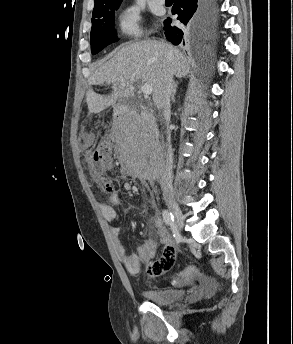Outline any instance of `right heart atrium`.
Instances as JSON below:
<instances>
[{"label": "right heart atrium", "instance_id": "d8ad5b80", "mask_svg": "<svg viewBox=\"0 0 293 344\" xmlns=\"http://www.w3.org/2000/svg\"><path fill=\"white\" fill-rule=\"evenodd\" d=\"M115 28L124 37L138 39L143 34L142 18L135 7L122 9L115 17Z\"/></svg>", "mask_w": 293, "mask_h": 344}]
</instances>
